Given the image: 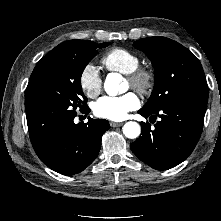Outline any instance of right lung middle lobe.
<instances>
[{
	"mask_svg": "<svg viewBox=\"0 0 221 221\" xmlns=\"http://www.w3.org/2000/svg\"><path fill=\"white\" fill-rule=\"evenodd\" d=\"M92 41L70 40L61 43L45 55L35 66L25 92V99L55 101L69 108L87 106L82 92L81 75L86 65L97 55Z\"/></svg>",
	"mask_w": 221,
	"mask_h": 221,
	"instance_id": "1",
	"label": "right lung middle lobe"
}]
</instances>
